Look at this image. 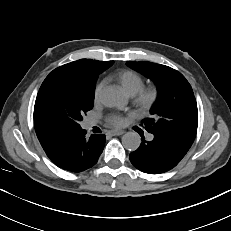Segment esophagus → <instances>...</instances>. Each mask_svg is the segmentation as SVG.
<instances>
[{
    "label": "esophagus",
    "mask_w": 231,
    "mask_h": 231,
    "mask_svg": "<svg viewBox=\"0 0 231 231\" xmlns=\"http://www.w3.org/2000/svg\"><path fill=\"white\" fill-rule=\"evenodd\" d=\"M123 133H124L123 130H113V131L109 132V135H111V136H119V135H122Z\"/></svg>",
    "instance_id": "1"
}]
</instances>
